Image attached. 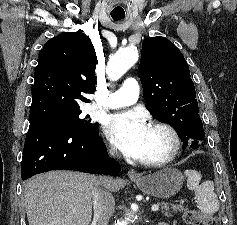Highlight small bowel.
<instances>
[{
  "label": "small bowel",
  "mask_w": 237,
  "mask_h": 225,
  "mask_svg": "<svg viewBox=\"0 0 237 225\" xmlns=\"http://www.w3.org/2000/svg\"><path fill=\"white\" fill-rule=\"evenodd\" d=\"M159 225H168V224H166V223H160Z\"/></svg>",
  "instance_id": "small-bowel-1"
}]
</instances>
